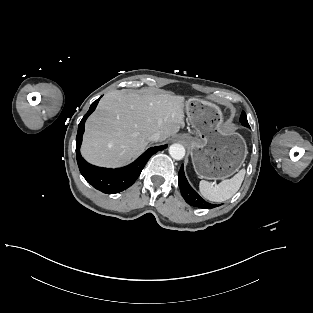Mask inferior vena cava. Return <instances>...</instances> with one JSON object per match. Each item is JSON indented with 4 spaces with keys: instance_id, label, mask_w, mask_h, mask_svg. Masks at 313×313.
<instances>
[{
    "instance_id": "inferior-vena-cava-1",
    "label": "inferior vena cava",
    "mask_w": 313,
    "mask_h": 313,
    "mask_svg": "<svg viewBox=\"0 0 313 313\" xmlns=\"http://www.w3.org/2000/svg\"><path fill=\"white\" fill-rule=\"evenodd\" d=\"M150 141H159L161 140V133L155 132L149 137Z\"/></svg>"
}]
</instances>
